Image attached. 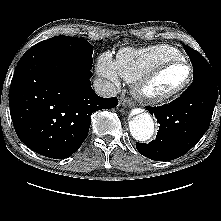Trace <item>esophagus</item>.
Listing matches in <instances>:
<instances>
[{"mask_svg":"<svg viewBox=\"0 0 221 221\" xmlns=\"http://www.w3.org/2000/svg\"><path fill=\"white\" fill-rule=\"evenodd\" d=\"M120 104L125 107H130L132 105V101L129 98H122L120 100Z\"/></svg>","mask_w":221,"mask_h":221,"instance_id":"1","label":"esophagus"}]
</instances>
